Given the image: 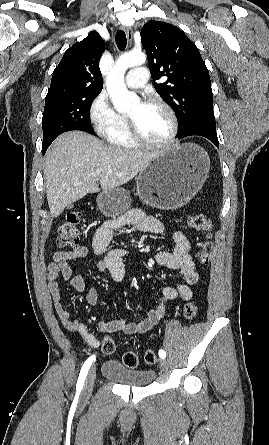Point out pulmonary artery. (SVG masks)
Listing matches in <instances>:
<instances>
[{
    "label": "pulmonary artery",
    "instance_id": "1",
    "mask_svg": "<svg viewBox=\"0 0 269 445\" xmlns=\"http://www.w3.org/2000/svg\"><path fill=\"white\" fill-rule=\"evenodd\" d=\"M149 71L145 67H136L126 76L125 82L129 88L137 89L143 87L148 81Z\"/></svg>",
    "mask_w": 269,
    "mask_h": 445
}]
</instances>
